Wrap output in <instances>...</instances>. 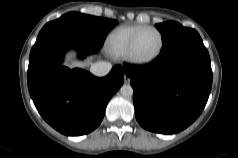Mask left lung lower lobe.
I'll return each instance as SVG.
<instances>
[{"mask_svg": "<svg viewBox=\"0 0 238 158\" xmlns=\"http://www.w3.org/2000/svg\"><path fill=\"white\" fill-rule=\"evenodd\" d=\"M131 78L138 123L146 130L173 134L193 123L212 87L210 57L196 34L168 48L151 64L124 66Z\"/></svg>", "mask_w": 238, "mask_h": 158, "instance_id": "obj_1", "label": "left lung lower lobe"}]
</instances>
